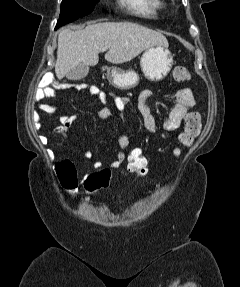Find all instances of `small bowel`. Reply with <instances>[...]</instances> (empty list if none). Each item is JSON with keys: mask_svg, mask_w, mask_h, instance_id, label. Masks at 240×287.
<instances>
[{"mask_svg": "<svg viewBox=\"0 0 240 287\" xmlns=\"http://www.w3.org/2000/svg\"><path fill=\"white\" fill-rule=\"evenodd\" d=\"M68 87L66 85H59L56 83H50L43 87H40L36 90L34 95V100L38 105V108L41 112L46 114H55L59 111L60 107L58 105H52L45 102L48 98L56 97V88ZM90 93L98 98L103 104L104 107L98 112V117L101 122L104 124L112 115L111 109L108 105L109 98L112 99L114 106L118 111L121 112L122 117L127 109L129 99L124 96L116 95L113 93H105L96 86L89 88ZM151 96V92L144 90L141 92L138 100V109L141 114L144 127L146 131L150 134H156L157 132V123L155 117L151 113L150 107L148 105V100ZM196 99L189 88L180 89L176 93V104L173 106L169 114L162 121V128L166 131L162 134L163 138H169L172 133L177 132L183 121L185 120L186 115L190 110L196 105ZM38 120V115L35 116ZM77 117L75 115L64 114L59 118V125L55 128V132L58 133L62 138H68V130L74 125ZM42 141L44 143L48 142L47 137H43ZM129 148L128 138L125 133H123L119 138V150L116 157L110 163L108 167L104 170L111 172L112 170L118 169L125 165L127 150ZM82 158L85 160H91L93 154L89 150H84L82 152ZM102 168V162L95 160L92 164V169L100 170Z\"/></svg>", "mask_w": 240, "mask_h": 287, "instance_id": "c3829d8e", "label": "small bowel"}]
</instances>
